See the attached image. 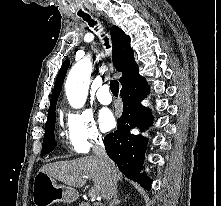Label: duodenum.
Here are the masks:
<instances>
[{"instance_id":"obj_1","label":"duodenum","mask_w":221,"mask_h":206,"mask_svg":"<svg viewBox=\"0 0 221 206\" xmlns=\"http://www.w3.org/2000/svg\"><path fill=\"white\" fill-rule=\"evenodd\" d=\"M93 206H101L100 204H98V203H95Z\"/></svg>"}]
</instances>
